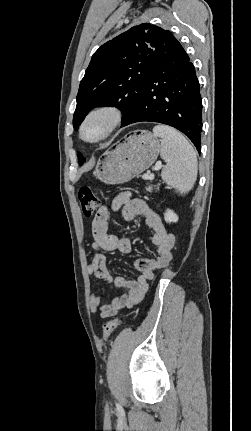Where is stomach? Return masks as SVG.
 <instances>
[{
	"mask_svg": "<svg viewBox=\"0 0 251 431\" xmlns=\"http://www.w3.org/2000/svg\"><path fill=\"white\" fill-rule=\"evenodd\" d=\"M160 149V140L151 132L132 131L102 154L94 175L109 185L126 183L152 166Z\"/></svg>",
	"mask_w": 251,
	"mask_h": 431,
	"instance_id": "0dacf381",
	"label": "stomach"
}]
</instances>
